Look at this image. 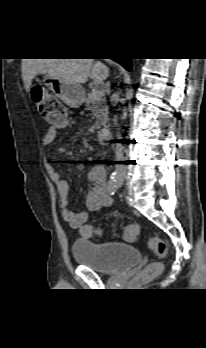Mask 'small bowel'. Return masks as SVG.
<instances>
[{"instance_id": "1", "label": "small bowel", "mask_w": 206, "mask_h": 348, "mask_svg": "<svg viewBox=\"0 0 206 348\" xmlns=\"http://www.w3.org/2000/svg\"><path fill=\"white\" fill-rule=\"evenodd\" d=\"M57 131L50 128L43 137L42 144L45 148L50 147L55 141ZM47 171L51 180L55 183L59 195L60 205L63 208V217L73 228L82 227L89 214H95L111 205L112 199L107 192L106 172L100 165L92 166L88 172V181L91 184L87 192L85 206L86 211L76 213L70 209L69 185L61 178L59 172L51 165H47Z\"/></svg>"}]
</instances>
